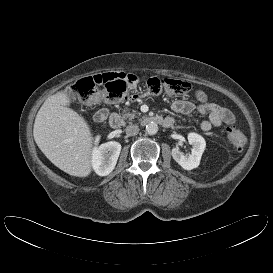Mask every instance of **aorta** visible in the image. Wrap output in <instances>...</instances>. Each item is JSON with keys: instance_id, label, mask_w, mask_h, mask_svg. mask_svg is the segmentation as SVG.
<instances>
[{"instance_id": "1", "label": "aorta", "mask_w": 273, "mask_h": 273, "mask_svg": "<svg viewBox=\"0 0 273 273\" xmlns=\"http://www.w3.org/2000/svg\"><path fill=\"white\" fill-rule=\"evenodd\" d=\"M146 132L149 135H155L158 132V125L156 123L150 122L146 125Z\"/></svg>"}]
</instances>
